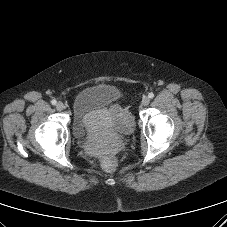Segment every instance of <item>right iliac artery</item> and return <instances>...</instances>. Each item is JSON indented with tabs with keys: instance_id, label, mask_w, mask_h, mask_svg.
Wrapping results in <instances>:
<instances>
[{
	"instance_id": "82829eb1",
	"label": "right iliac artery",
	"mask_w": 227,
	"mask_h": 227,
	"mask_svg": "<svg viewBox=\"0 0 227 227\" xmlns=\"http://www.w3.org/2000/svg\"><path fill=\"white\" fill-rule=\"evenodd\" d=\"M51 104H52V105H56V104H57V101H56L55 99H53V100L51 101Z\"/></svg>"
}]
</instances>
